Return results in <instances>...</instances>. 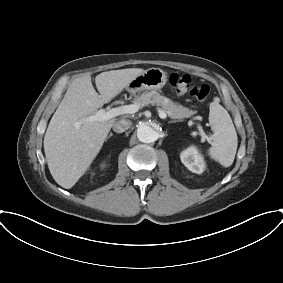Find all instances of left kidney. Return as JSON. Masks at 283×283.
<instances>
[{"mask_svg": "<svg viewBox=\"0 0 283 283\" xmlns=\"http://www.w3.org/2000/svg\"><path fill=\"white\" fill-rule=\"evenodd\" d=\"M182 163L193 173L201 174L204 171L205 163L203 157L194 146L184 150L180 155Z\"/></svg>", "mask_w": 283, "mask_h": 283, "instance_id": "5707ae66", "label": "left kidney"}]
</instances>
